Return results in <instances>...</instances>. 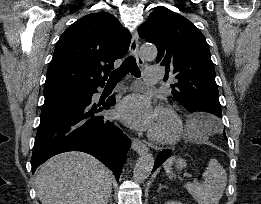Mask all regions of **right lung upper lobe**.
<instances>
[{"label": "right lung upper lobe", "instance_id": "cb5924a9", "mask_svg": "<svg viewBox=\"0 0 261 204\" xmlns=\"http://www.w3.org/2000/svg\"><path fill=\"white\" fill-rule=\"evenodd\" d=\"M131 35L111 14H88L59 38L47 70L44 95L79 92L104 84L113 63L128 51Z\"/></svg>", "mask_w": 261, "mask_h": 204}]
</instances>
